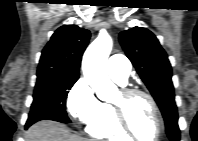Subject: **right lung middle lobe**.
<instances>
[{
    "mask_svg": "<svg viewBox=\"0 0 198 141\" xmlns=\"http://www.w3.org/2000/svg\"><path fill=\"white\" fill-rule=\"evenodd\" d=\"M78 78L79 76L38 75L26 125L44 119L70 123L65 111L66 98L68 90Z\"/></svg>",
    "mask_w": 198,
    "mask_h": 141,
    "instance_id": "1",
    "label": "right lung middle lobe"
}]
</instances>
